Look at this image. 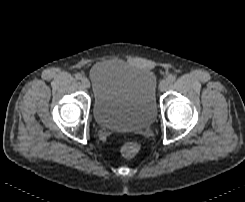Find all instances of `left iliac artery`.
<instances>
[{"instance_id":"1","label":"left iliac artery","mask_w":245,"mask_h":202,"mask_svg":"<svg viewBox=\"0 0 245 202\" xmlns=\"http://www.w3.org/2000/svg\"><path fill=\"white\" fill-rule=\"evenodd\" d=\"M176 80V77L174 75H169L168 76V81L169 82H174Z\"/></svg>"}]
</instances>
